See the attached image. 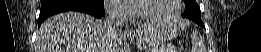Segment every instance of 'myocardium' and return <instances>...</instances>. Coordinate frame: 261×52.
I'll return each instance as SVG.
<instances>
[{"label": "myocardium", "mask_w": 261, "mask_h": 52, "mask_svg": "<svg viewBox=\"0 0 261 52\" xmlns=\"http://www.w3.org/2000/svg\"><path fill=\"white\" fill-rule=\"evenodd\" d=\"M141 1H148V0L133 1V11L136 16V19L139 22H145V23H150V24H165V23L174 21L181 12L182 0H175V9L170 15H168L164 18L148 17V16L141 14V12L139 10V2H141Z\"/></svg>", "instance_id": "obj_1"}]
</instances>
